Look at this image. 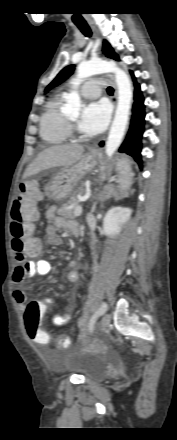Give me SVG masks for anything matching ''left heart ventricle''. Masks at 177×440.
<instances>
[{
    "mask_svg": "<svg viewBox=\"0 0 177 440\" xmlns=\"http://www.w3.org/2000/svg\"><path fill=\"white\" fill-rule=\"evenodd\" d=\"M69 119H71L72 121H76L78 119V116L71 115V116H69Z\"/></svg>",
    "mask_w": 177,
    "mask_h": 440,
    "instance_id": "obj_1",
    "label": "left heart ventricle"
}]
</instances>
